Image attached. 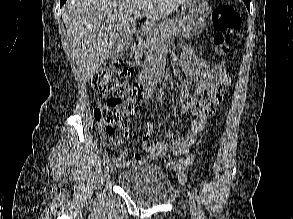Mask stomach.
<instances>
[{"instance_id": "1", "label": "stomach", "mask_w": 293, "mask_h": 219, "mask_svg": "<svg viewBox=\"0 0 293 219\" xmlns=\"http://www.w3.org/2000/svg\"><path fill=\"white\" fill-rule=\"evenodd\" d=\"M211 13L212 9L205 0H187L181 7V14L186 26L195 34L203 31Z\"/></svg>"}]
</instances>
